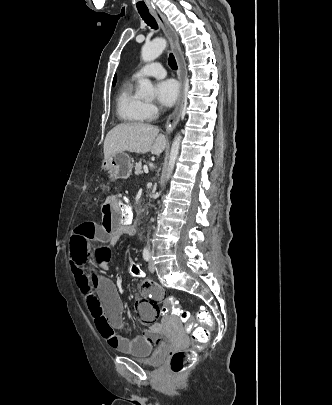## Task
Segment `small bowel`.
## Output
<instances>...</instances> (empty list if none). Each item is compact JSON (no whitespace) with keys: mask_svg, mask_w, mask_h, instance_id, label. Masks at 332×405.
Wrapping results in <instances>:
<instances>
[{"mask_svg":"<svg viewBox=\"0 0 332 405\" xmlns=\"http://www.w3.org/2000/svg\"><path fill=\"white\" fill-rule=\"evenodd\" d=\"M118 202V195H107L101 208L100 224L81 222L71 230L68 241L69 267L79 289V298H83L87 305L86 314L90 320H94L103 340L121 352L153 353L154 349H158V344L166 343V336L159 335L157 321H162L158 306H162L163 297H167V288H158L150 280L140 286L142 297L133 303V310L149 329L128 339L116 332L123 327V304L117 288L110 279L100 275L93 264V242L114 245L127 233V226L120 222Z\"/></svg>","mask_w":332,"mask_h":405,"instance_id":"c3829d8e","label":"small bowel"}]
</instances>
